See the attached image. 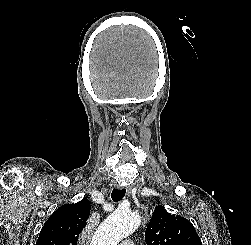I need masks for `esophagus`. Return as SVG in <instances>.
Here are the masks:
<instances>
[{
    "label": "esophagus",
    "instance_id": "obj_1",
    "mask_svg": "<svg viewBox=\"0 0 251 245\" xmlns=\"http://www.w3.org/2000/svg\"><path fill=\"white\" fill-rule=\"evenodd\" d=\"M120 188H126V191L128 194H131V191H132V187L131 186H120Z\"/></svg>",
    "mask_w": 251,
    "mask_h": 245
}]
</instances>
